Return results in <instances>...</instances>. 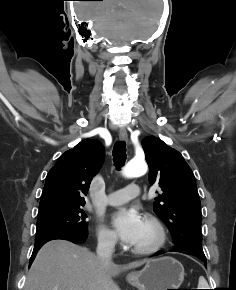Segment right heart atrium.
<instances>
[{"mask_svg":"<svg viewBox=\"0 0 236 290\" xmlns=\"http://www.w3.org/2000/svg\"><path fill=\"white\" fill-rule=\"evenodd\" d=\"M98 244L103 248H114L117 245L116 235L104 226H99L96 232Z\"/></svg>","mask_w":236,"mask_h":290,"instance_id":"1","label":"right heart atrium"}]
</instances>
